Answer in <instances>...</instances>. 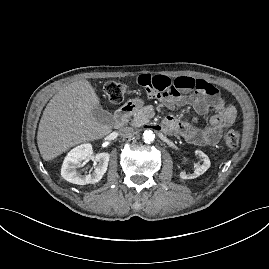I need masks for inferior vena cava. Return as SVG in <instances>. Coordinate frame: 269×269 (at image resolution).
Instances as JSON below:
<instances>
[{
	"label": "inferior vena cava",
	"mask_w": 269,
	"mask_h": 269,
	"mask_svg": "<svg viewBox=\"0 0 269 269\" xmlns=\"http://www.w3.org/2000/svg\"><path fill=\"white\" fill-rule=\"evenodd\" d=\"M120 134H121V136H123L125 138H131L134 136L135 131L132 127H123L120 130Z\"/></svg>",
	"instance_id": "inferior-vena-cava-1"
}]
</instances>
